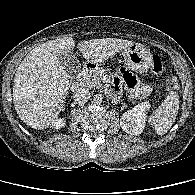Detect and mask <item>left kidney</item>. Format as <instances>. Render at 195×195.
<instances>
[{
	"instance_id": "obj_1",
	"label": "left kidney",
	"mask_w": 195,
	"mask_h": 195,
	"mask_svg": "<svg viewBox=\"0 0 195 195\" xmlns=\"http://www.w3.org/2000/svg\"><path fill=\"white\" fill-rule=\"evenodd\" d=\"M150 107L149 102H142L132 110L126 111L120 119L122 129L130 135L141 134L144 130L146 114Z\"/></svg>"
}]
</instances>
